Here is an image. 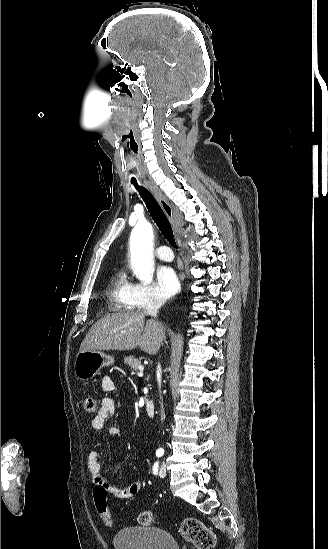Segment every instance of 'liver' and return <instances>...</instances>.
Here are the masks:
<instances>
[{"label":"liver","mask_w":328,"mask_h":549,"mask_svg":"<svg viewBox=\"0 0 328 549\" xmlns=\"http://www.w3.org/2000/svg\"><path fill=\"white\" fill-rule=\"evenodd\" d=\"M145 317V313L140 311L109 313L92 325L80 347V353L132 351L139 347L148 355H155L165 339V327L154 319H148L145 323Z\"/></svg>","instance_id":"liver-1"}]
</instances>
